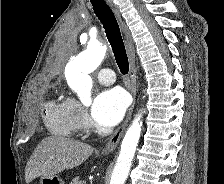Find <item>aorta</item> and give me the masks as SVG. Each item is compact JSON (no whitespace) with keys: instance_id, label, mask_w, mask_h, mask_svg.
<instances>
[{"instance_id":"aorta-1","label":"aorta","mask_w":224,"mask_h":184,"mask_svg":"<svg viewBox=\"0 0 224 184\" xmlns=\"http://www.w3.org/2000/svg\"><path fill=\"white\" fill-rule=\"evenodd\" d=\"M107 46L98 41H90L85 51L71 60L65 68V78L84 105H90L92 79L89 76L103 61ZM141 114L129 126L121 144V150L113 170L110 184H124L132 164L141 134Z\"/></svg>"}]
</instances>
